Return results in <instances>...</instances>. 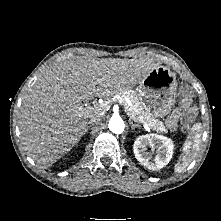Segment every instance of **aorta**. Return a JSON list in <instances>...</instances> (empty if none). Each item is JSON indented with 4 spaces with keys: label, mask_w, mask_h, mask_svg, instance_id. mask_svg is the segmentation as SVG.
I'll return each instance as SVG.
<instances>
[{
    "label": "aorta",
    "mask_w": 221,
    "mask_h": 221,
    "mask_svg": "<svg viewBox=\"0 0 221 221\" xmlns=\"http://www.w3.org/2000/svg\"><path fill=\"white\" fill-rule=\"evenodd\" d=\"M108 127L111 132L121 134L125 129V124L120 116L114 115L110 118Z\"/></svg>",
    "instance_id": "obj_1"
}]
</instances>
